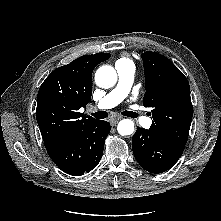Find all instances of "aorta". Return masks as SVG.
<instances>
[{"mask_svg": "<svg viewBox=\"0 0 221 221\" xmlns=\"http://www.w3.org/2000/svg\"><path fill=\"white\" fill-rule=\"evenodd\" d=\"M96 84L104 89L113 87L117 82V73L109 65L99 67L95 73ZM118 133L122 136L131 135L134 132V122L130 119H123L117 126Z\"/></svg>", "mask_w": 221, "mask_h": 221, "instance_id": "762f6f07", "label": "aorta"}]
</instances>
